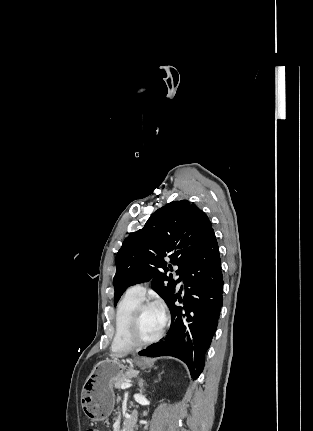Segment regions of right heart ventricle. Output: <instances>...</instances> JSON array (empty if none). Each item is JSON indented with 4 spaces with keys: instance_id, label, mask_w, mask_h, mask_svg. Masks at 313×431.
<instances>
[{
    "instance_id": "right-heart-ventricle-1",
    "label": "right heart ventricle",
    "mask_w": 313,
    "mask_h": 431,
    "mask_svg": "<svg viewBox=\"0 0 313 431\" xmlns=\"http://www.w3.org/2000/svg\"><path fill=\"white\" fill-rule=\"evenodd\" d=\"M142 299L128 293L120 299L115 311V331L112 341V350L118 353L131 351L134 346L128 340V327L134 309Z\"/></svg>"
}]
</instances>
